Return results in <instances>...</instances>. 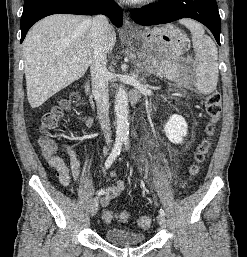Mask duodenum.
<instances>
[{"mask_svg": "<svg viewBox=\"0 0 247 257\" xmlns=\"http://www.w3.org/2000/svg\"><path fill=\"white\" fill-rule=\"evenodd\" d=\"M86 91L89 93L90 91V86H89V83L86 84Z\"/></svg>", "mask_w": 247, "mask_h": 257, "instance_id": "obj_1", "label": "duodenum"}]
</instances>
